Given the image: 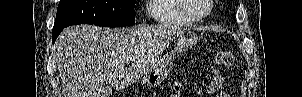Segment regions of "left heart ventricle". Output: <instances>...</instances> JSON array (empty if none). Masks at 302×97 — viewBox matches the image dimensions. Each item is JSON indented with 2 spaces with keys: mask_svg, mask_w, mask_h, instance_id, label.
Instances as JSON below:
<instances>
[{
  "mask_svg": "<svg viewBox=\"0 0 302 97\" xmlns=\"http://www.w3.org/2000/svg\"><path fill=\"white\" fill-rule=\"evenodd\" d=\"M188 9L196 14L202 15L207 11L206 0H185Z\"/></svg>",
  "mask_w": 302,
  "mask_h": 97,
  "instance_id": "b2bd125f",
  "label": "left heart ventricle"
}]
</instances>
